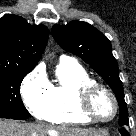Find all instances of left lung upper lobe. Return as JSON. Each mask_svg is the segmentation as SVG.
Wrapping results in <instances>:
<instances>
[{"instance_id":"5c2ea615","label":"left lung upper lobe","mask_w":136,"mask_h":136,"mask_svg":"<svg viewBox=\"0 0 136 136\" xmlns=\"http://www.w3.org/2000/svg\"><path fill=\"white\" fill-rule=\"evenodd\" d=\"M52 35L65 51L82 58L107 82L118 100L119 125H129L118 64L112 55L108 38L92 25L80 21L62 26L54 25Z\"/></svg>"}]
</instances>
